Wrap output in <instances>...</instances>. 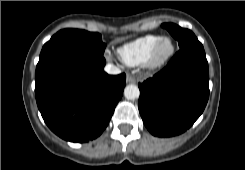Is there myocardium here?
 <instances>
[{
    "mask_svg": "<svg viewBox=\"0 0 245 170\" xmlns=\"http://www.w3.org/2000/svg\"><path fill=\"white\" fill-rule=\"evenodd\" d=\"M174 43L169 37H161L151 50L146 64L150 69H158L164 66L173 56Z\"/></svg>",
    "mask_w": 245,
    "mask_h": 170,
    "instance_id": "myocardium-1",
    "label": "myocardium"
}]
</instances>
